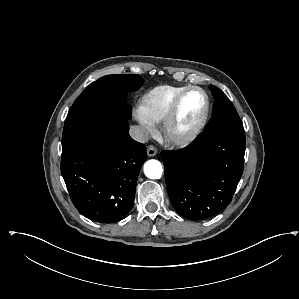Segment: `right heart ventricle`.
Segmentation results:
<instances>
[{
    "instance_id": "1",
    "label": "right heart ventricle",
    "mask_w": 299,
    "mask_h": 299,
    "mask_svg": "<svg viewBox=\"0 0 299 299\" xmlns=\"http://www.w3.org/2000/svg\"><path fill=\"white\" fill-rule=\"evenodd\" d=\"M186 86H157L143 95L140 101V113L152 124L162 122L177 95Z\"/></svg>"
}]
</instances>
